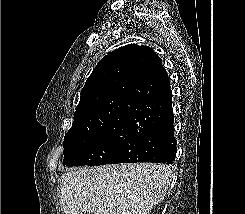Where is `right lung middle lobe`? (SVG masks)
<instances>
[{"label": "right lung middle lobe", "instance_id": "dd1d6c3e", "mask_svg": "<svg viewBox=\"0 0 245 214\" xmlns=\"http://www.w3.org/2000/svg\"><path fill=\"white\" fill-rule=\"evenodd\" d=\"M128 133L126 126L98 131L67 132L64 137V166H96L118 163V146Z\"/></svg>", "mask_w": 245, "mask_h": 214}]
</instances>
